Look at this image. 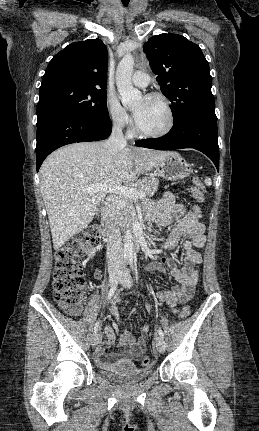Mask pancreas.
I'll return each mask as SVG.
<instances>
[{
    "instance_id": "obj_1",
    "label": "pancreas",
    "mask_w": 259,
    "mask_h": 431,
    "mask_svg": "<svg viewBox=\"0 0 259 431\" xmlns=\"http://www.w3.org/2000/svg\"><path fill=\"white\" fill-rule=\"evenodd\" d=\"M159 180L154 177H144L140 179L137 183L138 190L145 193V196L151 197L157 191ZM120 223L125 225L131 220L135 219V208L133 206V201L129 197H122L120 200Z\"/></svg>"
}]
</instances>
